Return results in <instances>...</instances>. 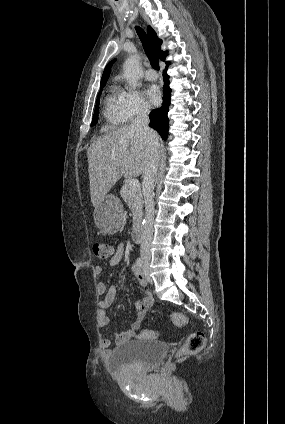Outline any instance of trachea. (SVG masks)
<instances>
[{"mask_svg": "<svg viewBox=\"0 0 285 424\" xmlns=\"http://www.w3.org/2000/svg\"><path fill=\"white\" fill-rule=\"evenodd\" d=\"M136 28V32L142 42L144 51L151 63V66L156 69V70H160L159 67V59L158 56L156 54V52L154 51L152 44L148 38V36L146 35V33L144 32V30L140 27H135Z\"/></svg>", "mask_w": 285, "mask_h": 424, "instance_id": "3493384b", "label": "trachea"}]
</instances>
